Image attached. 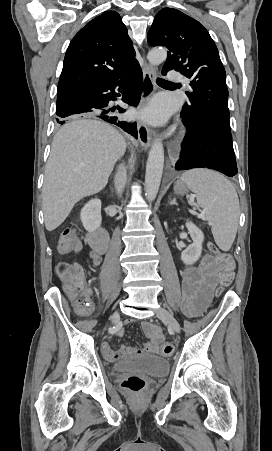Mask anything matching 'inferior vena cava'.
Here are the masks:
<instances>
[{
    "instance_id": "inferior-vena-cava-1",
    "label": "inferior vena cava",
    "mask_w": 272,
    "mask_h": 451,
    "mask_svg": "<svg viewBox=\"0 0 272 451\" xmlns=\"http://www.w3.org/2000/svg\"><path fill=\"white\" fill-rule=\"evenodd\" d=\"M125 182H126V170H125L123 164H121V166H119L118 172L115 176V188H116L117 194H121L123 188H125Z\"/></svg>"
}]
</instances>
